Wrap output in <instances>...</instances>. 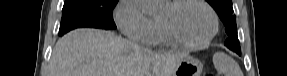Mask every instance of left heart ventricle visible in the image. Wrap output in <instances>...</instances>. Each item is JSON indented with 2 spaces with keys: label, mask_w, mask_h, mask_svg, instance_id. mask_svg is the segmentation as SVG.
Wrapping results in <instances>:
<instances>
[{
  "label": "left heart ventricle",
  "mask_w": 287,
  "mask_h": 76,
  "mask_svg": "<svg viewBox=\"0 0 287 76\" xmlns=\"http://www.w3.org/2000/svg\"><path fill=\"white\" fill-rule=\"evenodd\" d=\"M162 16L169 17L178 34L190 42L203 40L212 29L209 12L197 3H187L177 9L168 5Z\"/></svg>",
  "instance_id": "1"
}]
</instances>
